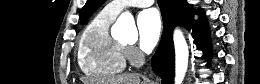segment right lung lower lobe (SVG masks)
I'll list each match as a JSON object with an SVG mask.
<instances>
[{
  "label": "right lung lower lobe",
  "mask_w": 260,
  "mask_h": 84,
  "mask_svg": "<svg viewBox=\"0 0 260 84\" xmlns=\"http://www.w3.org/2000/svg\"><path fill=\"white\" fill-rule=\"evenodd\" d=\"M164 21V33L160 45L152 58V68L162 78V84H173L175 54L172 39L176 25H185L192 28L194 39L205 57L211 55V44L207 23L202 11H195L186 0H158ZM194 14H200L198 20H193ZM197 34H201L200 37Z\"/></svg>",
  "instance_id": "1"
}]
</instances>
